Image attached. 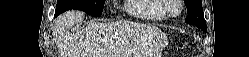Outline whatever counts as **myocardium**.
I'll return each mask as SVG.
<instances>
[{
    "instance_id": "myocardium-1",
    "label": "myocardium",
    "mask_w": 249,
    "mask_h": 57,
    "mask_svg": "<svg viewBox=\"0 0 249 57\" xmlns=\"http://www.w3.org/2000/svg\"><path fill=\"white\" fill-rule=\"evenodd\" d=\"M164 11L167 17L175 18L181 15L183 11V1L182 0H163ZM173 8H177L175 13L172 12Z\"/></svg>"
}]
</instances>
